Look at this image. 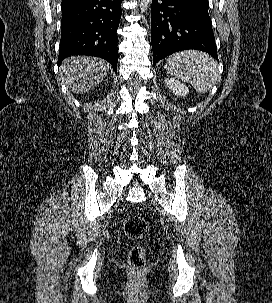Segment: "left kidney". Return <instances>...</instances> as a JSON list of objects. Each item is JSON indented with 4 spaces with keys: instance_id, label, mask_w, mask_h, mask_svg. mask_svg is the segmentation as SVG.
Listing matches in <instances>:
<instances>
[{
    "instance_id": "1",
    "label": "left kidney",
    "mask_w": 272,
    "mask_h": 303,
    "mask_svg": "<svg viewBox=\"0 0 272 303\" xmlns=\"http://www.w3.org/2000/svg\"><path fill=\"white\" fill-rule=\"evenodd\" d=\"M165 82L169 89L177 96L185 97L189 93L188 87L174 78H166Z\"/></svg>"
}]
</instances>
